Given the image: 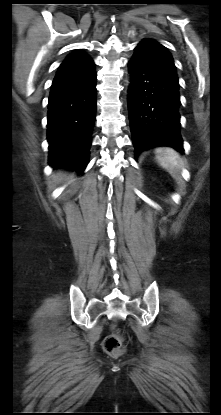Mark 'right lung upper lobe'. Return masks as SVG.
<instances>
[{
	"mask_svg": "<svg viewBox=\"0 0 221 415\" xmlns=\"http://www.w3.org/2000/svg\"><path fill=\"white\" fill-rule=\"evenodd\" d=\"M92 64L94 63L89 56L81 51H75L65 58L59 66L58 71L76 69Z\"/></svg>",
	"mask_w": 221,
	"mask_h": 415,
	"instance_id": "1",
	"label": "right lung upper lobe"
}]
</instances>
